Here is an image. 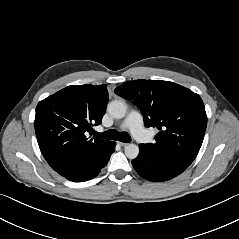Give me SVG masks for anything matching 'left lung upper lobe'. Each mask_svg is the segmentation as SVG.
<instances>
[{"label": "left lung upper lobe", "instance_id": "1", "mask_svg": "<svg viewBox=\"0 0 239 239\" xmlns=\"http://www.w3.org/2000/svg\"><path fill=\"white\" fill-rule=\"evenodd\" d=\"M142 112L147 127H157L154 144L145 148L190 165L197 156L207 127L200 96L169 81L134 80L115 89Z\"/></svg>", "mask_w": 239, "mask_h": 239}]
</instances>
